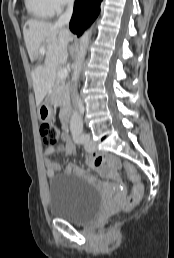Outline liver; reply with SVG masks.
<instances>
[{
    "mask_svg": "<svg viewBox=\"0 0 174 258\" xmlns=\"http://www.w3.org/2000/svg\"><path fill=\"white\" fill-rule=\"evenodd\" d=\"M23 35L30 60L39 62L45 57L43 64L39 63L32 72L36 105L39 106L54 85L58 66L67 62L68 44L73 37L63 26L37 20L25 23ZM45 44L47 48L41 54L40 48Z\"/></svg>",
    "mask_w": 174,
    "mask_h": 258,
    "instance_id": "6515ba94",
    "label": "liver"
}]
</instances>
